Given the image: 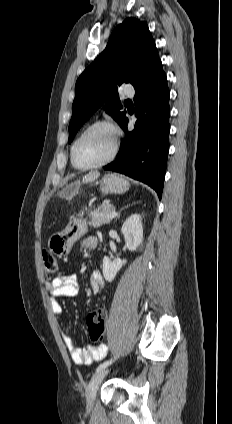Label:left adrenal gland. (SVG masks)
<instances>
[{
    "mask_svg": "<svg viewBox=\"0 0 232 424\" xmlns=\"http://www.w3.org/2000/svg\"><path fill=\"white\" fill-rule=\"evenodd\" d=\"M128 207V205L125 207V208H127ZM124 208H122L121 210H120V212H119V214H118V216H117V218L116 219H119V217H120V213L122 212V210H123Z\"/></svg>",
    "mask_w": 232,
    "mask_h": 424,
    "instance_id": "obj_1",
    "label": "left adrenal gland"
}]
</instances>
